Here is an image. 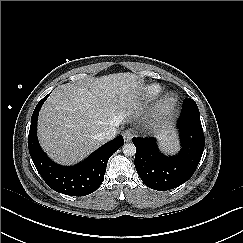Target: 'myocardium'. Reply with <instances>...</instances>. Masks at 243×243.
Returning <instances> with one entry per match:
<instances>
[{
  "label": "myocardium",
  "instance_id": "f54148a6",
  "mask_svg": "<svg viewBox=\"0 0 243 243\" xmlns=\"http://www.w3.org/2000/svg\"><path fill=\"white\" fill-rule=\"evenodd\" d=\"M178 97L173 92L166 93L158 104V113L165 115L169 113L177 104Z\"/></svg>",
  "mask_w": 243,
  "mask_h": 243
}]
</instances>
